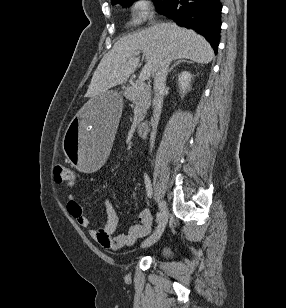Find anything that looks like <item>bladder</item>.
I'll use <instances>...</instances> for the list:
<instances>
[{"mask_svg":"<svg viewBox=\"0 0 286 308\" xmlns=\"http://www.w3.org/2000/svg\"><path fill=\"white\" fill-rule=\"evenodd\" d=\"M161 252L164 253V249H162Z\"/></svg>","mask_w":286,"mask_h":308,"instance_id":"1","label":"bladder"}]
</instances>
